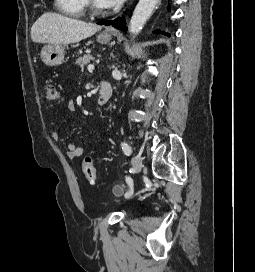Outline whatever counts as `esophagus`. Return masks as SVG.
<instances>
[{
    "instance_id": "34e87169",
    "label": "esophagus",
    "mask_w": 255,
    "mask_h": 272,
    "mask_svg": "<svg viewBox=\"0 0 255 272\" xmlns=\"http://www.w3.org/2000/svg\"><path fill=\"white\" fill-rule=\"evenodd\" d=\"M106 31H108V32H114V29L113 28H107Z\"/></svg>"
}]
</instances>
